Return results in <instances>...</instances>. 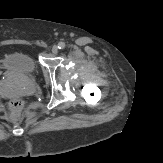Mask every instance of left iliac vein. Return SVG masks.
Returning a JSON list of instances; mask_svg holds the SVG:
<instances>
[{"instance_id":"4c4485c4","label":"left iliac vein","mask_w":163,"mask_h":163,"mask_svg":"<svg viewBox=\"0 0 163 163\" xmlns=\"http://www.w3.org/2000/svg\"><path fill=\"white\" fill-rule=\"evenodd\" d=\"M51 51H52L53 54H57L58 47L57 46H53L52 49H51Z\"/></svg>"}]
</instances>
